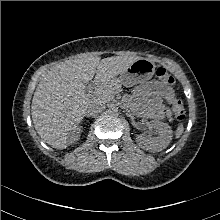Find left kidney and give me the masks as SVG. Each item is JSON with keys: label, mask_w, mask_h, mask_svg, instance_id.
I'll return each mask as SVG.
<instances>
[{"label": "left kidney", "mask_w": 220, "mask_h": 220, "mask_svg": "<svg viewBox=\"0 0 220 220\" xmlns=\"http://www.w3.org/2000/svg\"><path fill=\"white\" fill-rule=\"evenodd\" d=\"M153 128L156 129L158 136L151 137L143 134L137 135L136 141L143 149L159 152L165 149L172 140L171 127L163 122L153 121Z\"/></svg>", "instance_id": "obj_1"}]
</instances>
